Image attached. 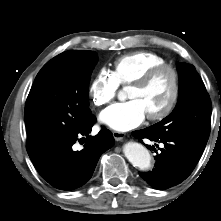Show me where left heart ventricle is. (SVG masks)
Masks as SVG:
<instances>
[{
    "mask_svg": "<svg viewBox=\"0 0 221 221\" xmlns=\"http://www.w3.org/2000/svg\"><path fill=\"white\" fill-rule=\"evenodd\" d=\"M171 93L172 76L169 72H163L145 88L131 86L128 98L140 101L146 115H149L160 112L168 103Z\"/></svg>",
    "mask_w": 221,
    "mask_h": 221,
    "instance_id": "left-heart-ventricle-1",
    "label": "left heart ventricle"
}]
</instances>
